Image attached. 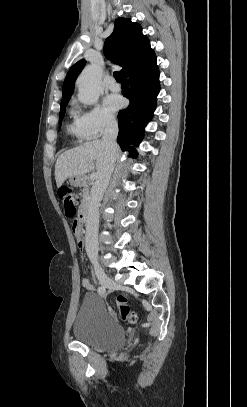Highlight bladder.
Listing matches in <instances>:
<instances>
[{
    "mask_svg": "<svg viewBox=\"0 0 247 407\" xmlns=\"http://www.w3.org/2000/svg\"><path fill=\"white\" fill-rule=\"evenodd\" d=\"M73 334L77 341L107 352L119 350L126 342L123 325L110 314L102 298L96 294H87L83 298Z\"/></svg>",
    "mask_w": 247,
    "mask_h": 407,
    "instance_id": "1",
    "label": "bladder"
}]
</instances>
